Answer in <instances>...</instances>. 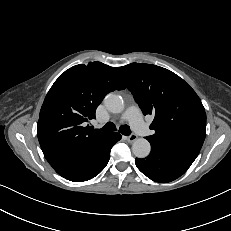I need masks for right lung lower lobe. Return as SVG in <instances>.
Wrapping results in <instances>:
<instances>
[{
	"instance_id": "right-lung-lower-lobe-1",
	"label": "right lung lower lobe",
	"mask_w": 231,
	"mask_h": 231,
	"mask_svg": "<svg viewBox=\"0 0 231 231\" xmlns=\"http://www.w3.org/2000/svg\"><path fill=\"white\" fill-rule=\"evenodd\" d=\"M120 139L119 133H109L86 154L53 168L70 181L90 180L105 168L110 158L111 148Z\"/></svg>"
}]
</instances>
